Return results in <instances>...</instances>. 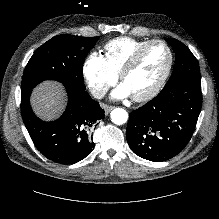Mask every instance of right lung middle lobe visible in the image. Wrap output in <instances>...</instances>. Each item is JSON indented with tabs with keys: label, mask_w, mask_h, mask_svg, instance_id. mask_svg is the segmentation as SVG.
I'll return each instance as SVG.
<instances>
[{
	"label": "right lung middle lobe",
	"mask_w": 219,
	"mask_h": 219,
	"mask_svg": "<svg viewBox=\"0 0 219 219\" xmlns=\"http://www.w3.org/2000/svg\"><path fill=\"white\" fill-rule=\"evenodd\" d=\"M99 37L57 35L33 54L23 73L21 94L31 92L44 80H55L64 85L85 88L83 63Z\"/></svg>",
	"instance_id": "1"
}]
</instances>
